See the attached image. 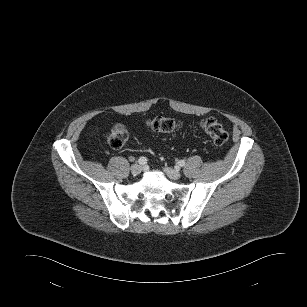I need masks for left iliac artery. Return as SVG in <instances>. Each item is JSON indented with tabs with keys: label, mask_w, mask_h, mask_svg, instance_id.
<instances>
[{
	"label": "left iliac artery",
	"mask_w": 307,
	"mask_h": 307,
	"mask_svg": "<svg viewBox=\"0 0 307 307\" xmlns=\"http://www.w3.org/2000/svg\"><path fill=\"white\" fill-rule=\"evenodd\" d=\"M178 165L181 166V167L185 166V161L184 160H180L178 162Z\"/></svg>",
	"instance_id": "left-iliac-artery-1"
}]
</instances>
